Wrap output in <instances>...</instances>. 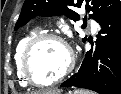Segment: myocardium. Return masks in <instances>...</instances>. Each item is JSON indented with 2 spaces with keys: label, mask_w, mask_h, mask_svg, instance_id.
Wrapping results in <instances>:
<instances>
[{
  "label": "myocardium",
  "mask_w": 121,
  "mask_h": 94,
  "mask_svg": "<svg viewBox=\"0 0 121 94\" xmlns=\"http://www.w3.org/2000/svg\"><path fill=\"white\" fill-rule=\"evenodd\" d=\"M46 40H53V41L60 43L67 52L68 61H67L65 68L63 69V71L57 77H55L53 80H51L49 82L41 83V82H37L34 79V77L31 75L30 69H29V59H30V56H31L34 48L39 43L46 41ZM74 66H75V56H74L73 49L71 48V46L67 43V41L63 37H61L60 35L55 34V33L37 34L34 38H32L27 43V45L22 53V57H21L22 74H23L26 82L35 87L44 88V87H49V86L60 83L72 72Z\"/></svg>",
  "instance_id": "f54148a6"
}]
</instances>
